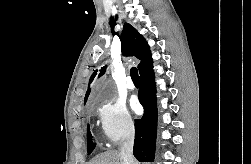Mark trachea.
Wrapping results in <instances>:
<instances>
[{
    "mask_svg": "<svg viewBox=\"0 0 251 164\" xmlns=\"http://www.w3.org/2000/svg\"><path fill=\"white\" fill-rule=\"evenodd\" d=\"M130 75H131L133 82H139L138 70L136 67L131 68Z\"/></svg>",
    "mask_w": 251,
    "mask_h": 164,
    "instance_id": "1",
    "label": "trachea"
}]
</instances>
